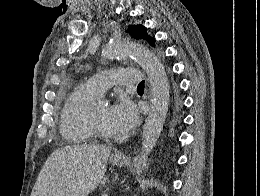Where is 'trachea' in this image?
Here are the masks:
<instances>
[{
  "label": "trachea",
  "mask_w": 260,
  "mask_h": 196,
  "mask_svg": "<svg viewBox=\"0 0 260 196\" xmlns=\"http://www.w3.org/2000/svg\"><path fill=\"white\" fill-rule=\"evenodd\" d=\"M145 87V82L144 81H140V83L137 86V89H144Z\"/></svg>",
  "instance_id": "1"
}]
</instances>
